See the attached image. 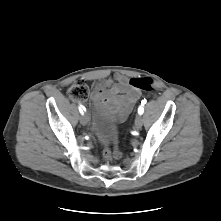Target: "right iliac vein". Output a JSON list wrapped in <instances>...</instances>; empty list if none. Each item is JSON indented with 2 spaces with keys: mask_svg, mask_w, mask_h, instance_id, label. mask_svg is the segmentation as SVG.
Instances as JSON below:
<instances>
[{
  "mask_svg": "<svg viewBox=\"0 0 221 221\" xmlns=\"http://www.w3.org/2000/svg\"><path fill=\"white\" fill-rule=\"evenodd\" d=\"M80 122L82 125H87L89 123V116L87 114H82L80 117Z\"/></svg>",
  "mask_w": 221,
  "mask_h": 221,
  "instance_id": "right-iliac-vein-1",
  "label": "right iliac vein"
}]
</instances>
